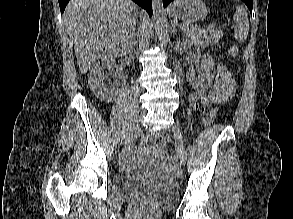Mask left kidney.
<instances>
[{
    "mask_svg": "<svg viewBox=\"0 0 293 219\" xmlns=\"http://www.w3.org/2000/svg\"><path fill=\"white\" fill-rule=\"evenodd\" d=\"M193 44L192 40L177 41V51L181 53L188 50ZM200 68L204 71L202 76L196 77L194 72H187L186 77L192 88L198 92L207 91L213 83L215 62L211 56L204 55L201 61Z\"/></svg>",
    "mask_w": 293,
    "mask_h": 219,
    "instance_id": "left-kidney-1",
    "label": "left kidney"
}]
</instances>
